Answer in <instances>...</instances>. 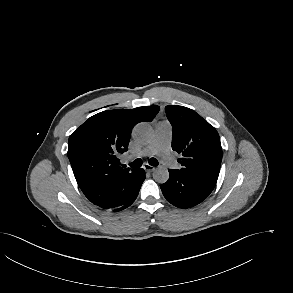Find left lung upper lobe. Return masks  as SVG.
Instances as JSON below:
<instances>
[{
	"mask_svg": "<svg viewBox=\"0 0 293 293\" xmlns=\"http://www.w3.org/2000/svg\"><path fill=\"white\" fill-rule=\"evenodd\" d=\"M165 111L173 129L172 149L183 155L180 171L217 182L222 147L216 129L189 108L169 105Z\"/></svg>",
	"mask_w": 293,
	"mask_h": 293,
	"instance_id": "5c2ea615",
	"label": "left lung upper lobe"
}]
</instances>
